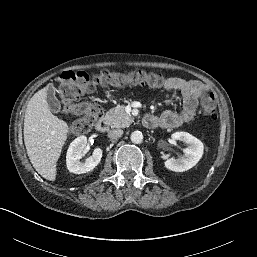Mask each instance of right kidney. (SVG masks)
<instances>
[{
  "instance_id": "obj_1",
  "label": "right kidney",
  "mask_w": 257,
  "mask_h": 257,
  "mask_svg": "<svg viewBox=\"0 0 257 257\" xmlns=\"http://www.w3.org/2000/svg\"><path fill=\"white\" fill-rule=\"evenodd\" d=\"M87 146V137L80 136L77 137L70 144L67 155H66V164L70 172L75 174H83L92 171L100 162L102 158V149L95 148L92 155L81 162L82 151Z\"/></svg>"
}]
</instances>
